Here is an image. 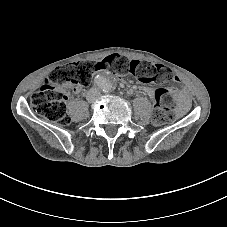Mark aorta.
<instances>
[{
  "label": "aorta",
  "mask_w": 227,
  "mask_h": 227,
  "mask_svg": "<svg viewBox=\"0 0 227 227\" xmlns=\"http://www.w3.org/2000/svg\"><path fill=\"white\" fill-rule=\"evenodd\" d=\"M96 83L103 91H110L115 85V80L111 75H100Z\"/></svg>",
  "instance_id": "aorta-1"
}]
</instances>
